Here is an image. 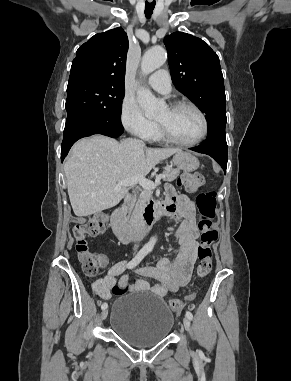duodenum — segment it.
Masks as SVG:
<instances>
[{
    "label": "duodenum",
    "mask_w": 291,
    "mask_h": 381,
    "mask_svg": "<svg viewBox=\"0 0 291 381\" xmlns=\"http://www.w3.org/2000/svg\"><path fill=\"white\" fill-rule=\"evenodd\" d=\"M131 202L132 196L126 195L123 204L116 208L111 216L112 229L122 243L142 240L156 220L165 213L164 202L153 201L145 208L139 223L131 225L125 220V212Z\"/></svg>",
    "instance_id": "duodenum-1"
}]
</instances>
